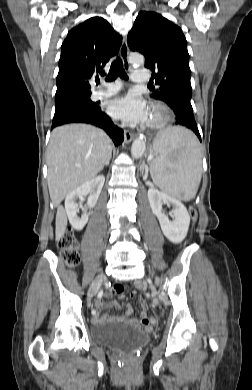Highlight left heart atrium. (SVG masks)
Wrapping results in <instances>:
<instances>
[{
    "mask_svg": "<svg viewBox=\"0 0 252 390\" xmlns=\"http://www.w3.org/2000/svg\"><path fill=\"white\" fill-rule=\"evenodd\" d=\"M110 114L130 124H143L148 121L149 108L146 102L133 93L117 97L109 105Z\"/></svg>",
    "mask_w": 252,
    "mask_h": 390,
    "instance_id": "obj_1",
    "label": "left heart atrium"
}]
</instances>
